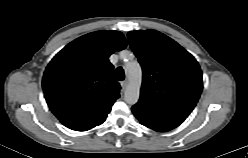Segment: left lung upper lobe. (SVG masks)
<instances>
[{
  "label": "left lung upper lobe",
  "instance_id": "obj_1",
  "mask_svg": "<svg viewBox=\"0 0 248 158\" xmlns=\"http://www.w3.org/2000/svg\"><path fill=\"white\" fill-rule=\"evenodd\" d=\"M128 40L143 70L140 99L132 112L155 131L176 128L194 109L203 89L198 62L177 42L155 30L131 31Z\"/></svg>",
  "mask_w": 248,
  "mask_h": 158
}]
</instances>
